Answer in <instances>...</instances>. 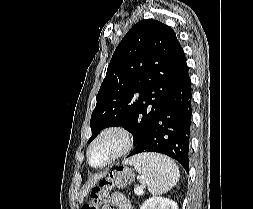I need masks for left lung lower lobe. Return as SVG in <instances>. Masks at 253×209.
I'll return each instance as SVG.
<instances>
[{"label": "left lung lower lobe", "mask_w": 253, "mask_h": 209, "mask_svg": "<svg viewBox=\"0 0 253 209\" xmlns=\"http://www.w3.org/2000/svg\"><path fill=\"white\" fill-rule=\"evenodd\" d=\"M191 119V80L185 61L149 135L129 156L142 152L162 153L177 160L189 172Z\"/></svg>", "instance_id": "left-lung-lower-lobe-1"}]
</instances>
